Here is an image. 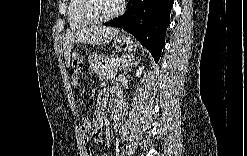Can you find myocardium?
Returning <instances> with one entry per match:
<instances>
[{
  "label": "myocardium",
  "instance_id": "obj_1",
  "mask_svg": "<svg viewBox=\"0 0 247 156\" xmlns=\"http://www.w3.org/2000/svg\"><path fill=\"white\" fill-rule=\"evenodd\" d=\"M93 1L84 0L81 4V16L89 23V24H102L109 22L115 18H117L123 12V3L118 2L117 7L114 12L103 17H95L90 13V4Z\"/></svg>",
  "mask_w": 247,
  "mask_h": 156
}]
</instances>
